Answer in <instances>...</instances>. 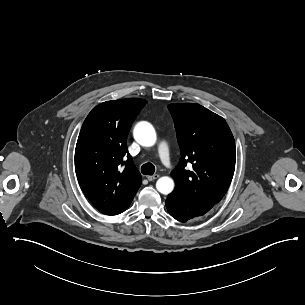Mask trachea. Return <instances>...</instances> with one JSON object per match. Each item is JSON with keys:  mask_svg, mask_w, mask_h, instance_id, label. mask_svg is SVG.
<instances>
[{"mask_svg": "<svg viewBox=\"0 0 305 305\" xmlns=\"http://www.w3.org/2000/svg\"><path fill=\"white\" fill-rule=\"evenodd\" d=\"M141 172L144 175H153L155 172V166L150 162L145 163L141 166Z\"/></svg>", "mask_w": 305, "mask_h": 305, "instance_id": "3493384b", "label": "trachea"}]
</instances>
